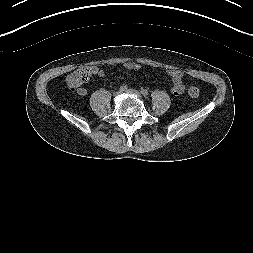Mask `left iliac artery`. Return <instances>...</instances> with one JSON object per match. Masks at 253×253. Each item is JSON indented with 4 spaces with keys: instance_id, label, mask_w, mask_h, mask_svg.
<instances>
[{
    "instance_id": "44dca946",
    "label": "left iliac artery",
    "mask_w": 253,
    "mask_h": 253,
    "mask_svg": "<svg viewBox=\"0 0 253 253\" xmlns=\"http://www.w3.org/2000/svg\"><path fill=\"white\" fill-rule=\"evenodd\" d=\"M141 93L144 95V96H147L149 93L146 89H141Z\"/></svg>"
}]
</instances>
